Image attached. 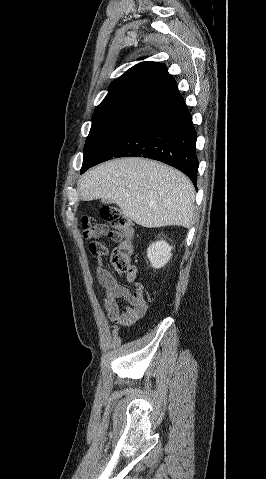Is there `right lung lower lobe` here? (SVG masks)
Masks as SVG:
<instances>
[{"mask_svg":"<svg viewBox=\"0 0 266 479\" xmlns=\"http://www.w3.org/2000/svg\"><path fill=\"white\" fill-rule=\"evenodd\" d=\"M196 139L192 117L176 88L139 111L90 167L116 157H146L179 169L196 186Z\"/></svg>","mask_w":266,"mask_h":479,"instance_id":"98d812e1","label":"right lung lower lobe"}]
</instances>
